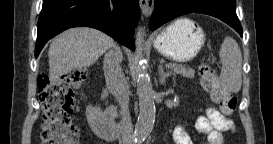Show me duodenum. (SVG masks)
Here are the masks:
<instances>
[{
	"mask_svg": "<svg viewBox=\"0 0 273 144\" xmlns=\"http://www.w3.org/2000/svg\"><path fill=\"white\" fill-rule=\"evenodd\" d=\"M87 118L92 131L98 137L106 141H114L119 138V128L113 119L104 112L99 103L93 102L90 105Z\"/></svg>",
	"mask_w": 273,
	"mask_h": 144,
	"instance_id": "410a0bca",
	"label": "duodenum"
}]
</instances>
